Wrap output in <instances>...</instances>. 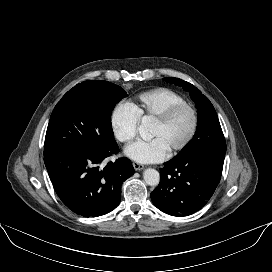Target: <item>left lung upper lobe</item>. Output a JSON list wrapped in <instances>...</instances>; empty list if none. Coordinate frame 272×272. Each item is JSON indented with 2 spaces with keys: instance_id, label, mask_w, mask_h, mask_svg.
<instances>
[{
  "instance_id": "1",
  "label": "left lung upper lobe",
  "mask_w": 272,
  "mask_h": 272,
  "mask_svg": "<svg viewBox=\"0 0 272 272\" xmlns=\"http://www.w3.org/2000/svg\"><path fill=\"white\" fill-rule=\"evenodd\" d=\"M164 80L188 91L198 109L196 133L175 157L194 155L224 163L226 142L212 103L199 89L184 80L173 77H166Z\"/></svg>"
}]
</instances>
